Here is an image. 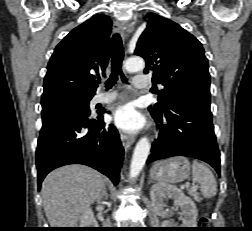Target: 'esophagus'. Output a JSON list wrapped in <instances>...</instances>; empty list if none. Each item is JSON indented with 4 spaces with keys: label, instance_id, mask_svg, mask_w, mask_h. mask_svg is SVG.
<instances>
[{
    "label": "esophagus",
    "instance_id": "obj_1",
    "mask_svg": "<svg viewBox=\"0 0 252 231\" xmlns=\"http://www.w3.org/2000/svg\"><path fill=\"white\" fill-rule=\"evenodd\" d=\"M115 28L118 32H120L122 38L125 40V31H124L125 26H124V24L120 21H116ZM120 139H121V142H122L124 149L126 151H128L130 149L131 145L133 144L135 138L133 136H129L124 133H120Z\"/></svg>",
    "mask_w": 252,
    "mask_h": 231
}]
</instances>
